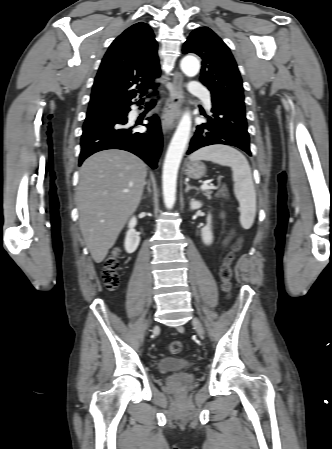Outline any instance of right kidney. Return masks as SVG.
Instances as JSON below:
<instances>
[{
  "mask_svg": "<svg viewBox=\"0 0 332 449\" xmlns=\"http://www.w3.org/2000/svg\"><path fill=\"white\" fill-rule=\"evenodd\" d=\"M137 224V219L135 217H132L128 223L129 230L126 233L125 237V250L127 253H133L137 249L139 243H140V236L139 234L134 230V227Z\"/></svg>",
  "mask_w": 332,
  "mask_h": 449,
  "instance_id": "obj_1",
  "label": "right kidney"
}]
</instances>
